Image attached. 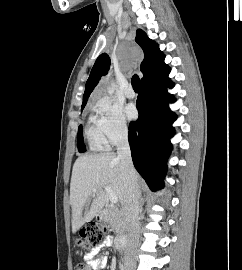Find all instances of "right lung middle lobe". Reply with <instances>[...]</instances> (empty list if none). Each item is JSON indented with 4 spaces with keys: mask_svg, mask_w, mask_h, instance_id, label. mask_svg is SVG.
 Segmentation results:
<instances>
[{
    "mask_svg": "<svg viewBox=\"0 0 242 270\" xmlns=\"http://www.w3.org/2000/svg\"><path fill=\"white\" fill-rule=\"evenodd\" d=\"M84 107H82L83 109ZM78 150L79 152L83 153L86 151L84 142H83V136H82V125L78 128Z\"/></svg>",
    "mask_w": 242,
    "mask_h": 270,
    "instance_id": "right-lung-middle-lobe-1",
    "label": "right lung middle lobe"
}]
</instances>
